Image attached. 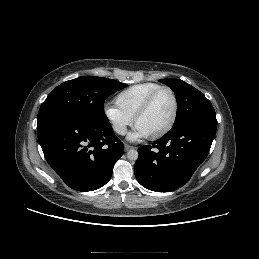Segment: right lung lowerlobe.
<instances>
[{
	"label": "right lung lower lobe",
	"instance_id": "1",
	"mask_svg": "<svg viewBox=\"0 0 259 259\" xmlns=\"http://www.w3.org/2000/svg\"><path fill=\"white\" fill-rule=\"evenodd\" d=\"M37 135L48 164L66 185L78 191L104 186L124 153L109 122L76 115H57L38 123Z\"/></svg>",
	"mask_w": 259,
	"mask_h": 259
}]
</instances>
